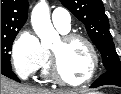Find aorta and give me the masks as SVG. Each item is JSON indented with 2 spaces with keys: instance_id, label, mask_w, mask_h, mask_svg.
<instances>
[{
  "instance_id": "aorta-1",
  "label": "aorta",
  "mask_w": 121,
  "mask_h": 94,
  "mask_svg": "<svg viewBox=\"0 0 121 94\" xmlns=\"http://www.w3.org/2000/svg\"><path fill=\"white\" fill-rule=\"evenodd\" d=\"M31 24L41 40L43 48H49L59 38L50 20L49 6L45 0L35 5L31 13Z\"/></svg>"
}]
</instances>
